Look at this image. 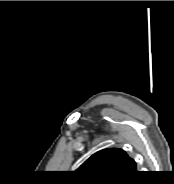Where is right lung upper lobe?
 <instances>
[{
  "instance_id": "obj_1",
  "label": "right lung upper lobe",
  "mask_w": 174,
  "mask_h": 184,
  "mask_svg": "<svg viewBox=\"0 0 174 184\" xmlns=\"http://www.w3.org/2000/svg\"><path fill=\"white\" fill-rule=\"evenodd\" d=\"M97 181H123L135 174L136 164L122 149L101 150L87 159L77 170Z\"/></svg>"
}]
</instances>
